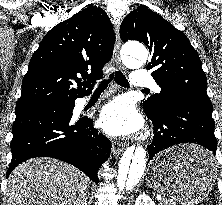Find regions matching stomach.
Segmentation results:
<instances>
[{
  "mask_svg": "<svg viewBox=\"0 0 222 205\" xmlns=\"http://www.w3.org/2000/svg\"><path fill=\"white\" fill-rule=\"evenodd\" d=\"M206 153L196 145L163 151L149 164L148 186L182 205H197L209 195L217 177L213 164H201L194 159Z\"/></svg>",
  "mask_w": 222,
  "mask_h": 205,
  "instance_id": "stomach-1",
  "label": "stomach"
}]
</instances>
